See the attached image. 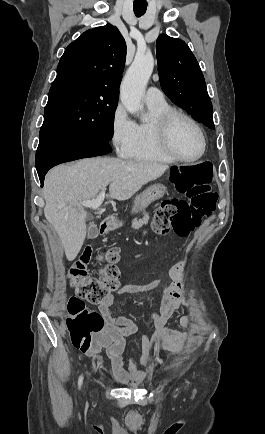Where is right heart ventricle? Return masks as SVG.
I'll return each mask as SVG.
<instances>
[{"label": "right heart ventricle", "mask_w": 265, "mask_h": 434, "mask_svg": "<svg viewBox=\"0 0 265 434\" xmlns=\"http://www.w3.org/2000/svg\"><path fill=\"white\" fill-rule=\"evenodd\" d=\"M150 119L137 125V142L133 153L127 158L138 163L170 165L176 161L163 149L160 142L159 120L171 107L162 100L161 103L146 104Z\"/></svg>", "instance_id": "1"}]
</instances>
